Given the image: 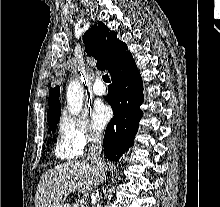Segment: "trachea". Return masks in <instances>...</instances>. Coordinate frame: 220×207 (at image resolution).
Returning a JSON list of instances; mask_svg holds the SVG:
<instances>
[{
	"label": "trachea",
	"mask_w": 220,
	"mask_h": 207,
	"mask_svg": "<svg viewBox=\"0 0 220 207\" xmlns=\"http://www.w3.org/2000/svg\"><path fill=\"white\" fill-rule=\"evenodd\" d=\"M103 81L106 83H110V78L108 74L103 75Z\"/></svg>",
	"instance_id": "obj_1"
}]
</instances>
